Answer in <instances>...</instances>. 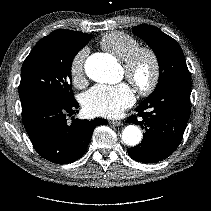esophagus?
<instances>
[{
    "label": "esophagus",
    "instance_id": "esophagus-1",
    "mask_svg": "<svg viewBox=\"0 0 211 211\" xmlns=\"http://www.w3.org/2000/svg\"><path fill=\"white\" fill-rule=\"evenodd\" d=\"M109 123L112 124V125H115V126L123 125V123L121 121H116V120L110 121Z\"/></svg>",
    "mask_w": 211,
    "mask_h": 211
}]
</instances>
